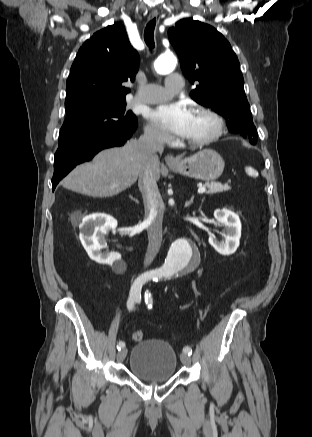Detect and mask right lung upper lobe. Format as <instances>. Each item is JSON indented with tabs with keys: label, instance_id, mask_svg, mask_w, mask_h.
Returning <instances> with one entry per match:
<instances>
[{
	"label": "right lung upper lobe",
	"instance_id": "1",
	"mask_svg": "<svg viewBox=\"0 0 312 437\" xmlns=\"http://www.w3.org/2000/svg\"><path fill=\"white\" fill-rule=\"evenodd\" d=\"M138 66L139 55L121 23L96 32L79 49L71 66L65 107L125 101L130 90L122 83L134 81Z\"/></svg>",
	"mask_w": 312,
	"mask_h": 437
}]
</instances>
